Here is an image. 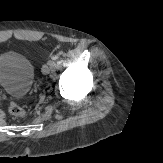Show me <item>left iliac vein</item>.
<instances>
[{
    "label": "left iliac vein",
    "mask_w": 163,
    "mask_h": 163,
    "mask_svg": "<svg viewBox=\"0 0 163 163\" xmlns=\"http://www.w3.org/2000/svg\"><path fill=\"white\" fill-rule=\"evenodd\" d=\"M50 70H51L50 64H44L42 66V73L44 75H48L50 73Z\"/></svg>",
    "instance_id": "obj_1"
}]
</instances>
